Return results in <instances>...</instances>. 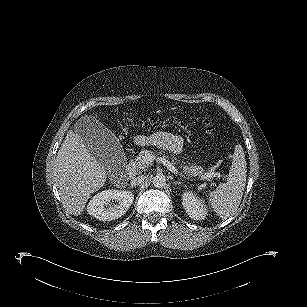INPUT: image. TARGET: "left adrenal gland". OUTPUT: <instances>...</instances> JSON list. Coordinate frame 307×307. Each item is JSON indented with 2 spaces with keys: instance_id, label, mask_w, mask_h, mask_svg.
<instances>
[{
  "instance_id": "a2214340",
  "label": "left adrenal gland",
  "mask_w": 307,
  "mask_h": 307,
  "mask_svg": "<svg viewBox=\"0 0 307 307\" xmlns=\"http://www.w3.org/2000/svg\"><path fill=\"white\" fill-rule=\"evenodd\" d=\"M177 184L180 185L181 183L180 182H176L175 185H177Z\"/></svg>"
}]
</instances>
